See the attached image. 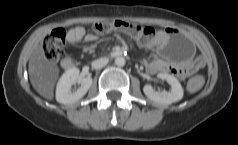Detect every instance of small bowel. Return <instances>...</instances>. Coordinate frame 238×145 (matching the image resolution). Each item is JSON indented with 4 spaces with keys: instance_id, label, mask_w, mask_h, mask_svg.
<instances>
[{
    "instance_id": "c3829d8e",
    "label": "small bowel",
    "mask_w": 238,
    "mask_h": 145,
    "mask_svg": "<svg viewBox=\"0 0 238 145\" xmlns=\"http://www.w3.org/2000/svg\"><path fill=\"white\" fill-rule=\"evenodd\" d=\"M168 33H172L173 29L169 28L167 30ZM84 36V31L81 28H74L69 32V40L71 42H77ZM96 37L94 35L86 36V39L89 41L94 40ZM155 42L161 43V45H165V38L160 36L156 39ZM204 66V61L201 57L193 56L189 58L187 61L181 62L177 66L171 65L169 62L162 60L157 55H154L149 63H147V69L152 73H160V72H168L171 71L174 74L184 78L188 75H191Z\"/></svg>"
}]
</instances>
